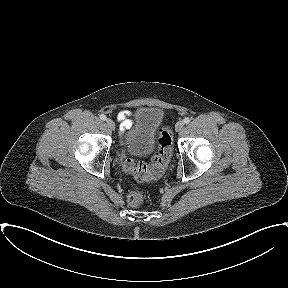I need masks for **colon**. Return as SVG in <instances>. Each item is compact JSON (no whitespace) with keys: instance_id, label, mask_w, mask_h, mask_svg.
Segmentation results:
<instances>
[{"instance_id":"colon-1","label":"colon","mask_w":288,"mask_h":288,"mask_svg":"<svg viewBox=\"0 0 288 288\" xmlns=\"http://www.w3.org/2000/svg\"><path fill=\"white\" fill-rule=\"evenodd\" d=\"M171 136L167 130H162L158 139V151L151 163L137 162L127 159L123 168L132 174L139 182H149L157 179L168 164L171 155ZM131 206L137 207L144 202V196L139 191H131L127 196Z\"/></svg>"}]
</instances>
